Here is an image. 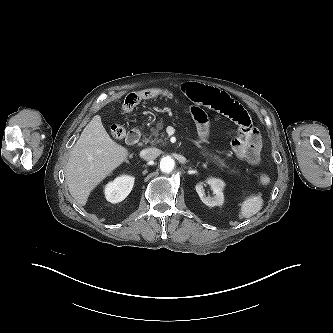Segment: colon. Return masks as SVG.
Returning <instances> with one entry per match:
<instances>
[{
	"label": "colon",
	"instance_id": "colon-1",
	"mask_svg": "<svg viewBox=\"0 0 333 333\" xmlns=\"http://www.w3.org/2000/svg\"><path fill=\"white\" fill-rule=\"evenodd\" d=\"M159 96L170 98L173 96V93L169 90L159 88H150L129 93L124 98L122 104V111L125 113L131 112L142 100L151 99ZM110 132L112 137L115 139H122L125 135L124 128L119 124H113L110 128ZM259 180L262 184L267 185L270 183L271 178L267 174H261Z\"/></svg>",
	"mask_w": 333,
	"mask_h": 333
}]
</instances>
